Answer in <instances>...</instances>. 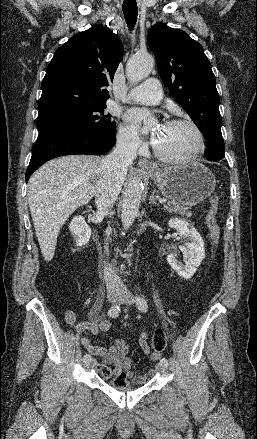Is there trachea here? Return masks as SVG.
Wrapping results in <instances>:
<instances>
[{
    "instance_id": "obj_1",
    "label": "trachea",
    "mask_w": 257,
    "mask_h": 439,
    "mask_svg": "<svg viewBox=\"0 0 257 439\" xmlns=\"http://www.w3.org/2000/svg\"><path fill=\"white\" fill-rule=\"evenodd\" d=\"M122 9L128 28L133 29L138 16L136 0H124Z\"/></svg>"
}]
</instances>
